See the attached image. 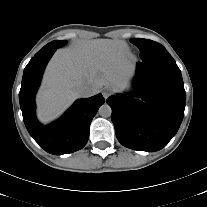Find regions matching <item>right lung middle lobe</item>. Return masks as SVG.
<instances>
[{
	"mask_svg": "<svg viewBox=\"0 0 207 207\" xmlns=\"http://www.w3.org/2000/svg\"><path fill=\"white\" fill-rule=\"evenodd\" d=\"M66 44V40H55L52 41L50 43H48L47 45H45L40 51H38L36 54L45 52V51H50V50H56L57 48H60L62 46H64Z\"/></svg>",
	"mask_w": 207,
	"mask_h": 207,
	"instance_id": "obj_1",
	"label": "right lung middle lobe"
}]
</instances>
